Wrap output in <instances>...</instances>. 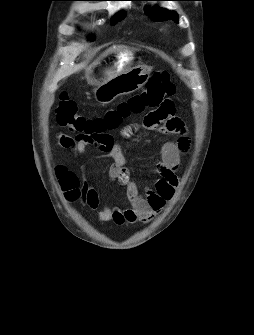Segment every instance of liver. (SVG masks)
I'll return each instance as SVG.
<instances>
[{"label": "liver", "instance_id": "liver-1", "mask_svg": "<svg viewBox=\"0 0 254 335\" xmlns=\"http://www.w3.org/2000/svg\"><path fill=\"white\" fill-rule=\"evenodd\" d=\"M122 47H124V46H113V47L107 49V50L101 55V57L107 56V55L110 54V53H115L116 51H118V50H119L120 48H122ZM95 63H96V61H95L93 64H95ZM93 64H92V65H93Z\"/></svg>", "mask_w": 254, "mask_h": 335}]
</instances>
